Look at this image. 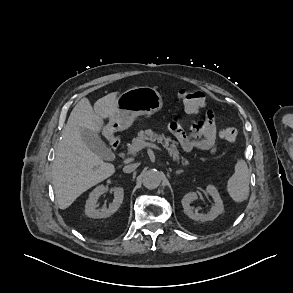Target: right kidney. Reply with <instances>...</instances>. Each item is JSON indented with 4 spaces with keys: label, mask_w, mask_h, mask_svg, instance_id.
Returning <instances> with one entry per match:
<instances>
[{
    "label": "right kidney",
    "mask_w": 293,
    "mask_h": 293,
    "mask_svg": "<svg viewBox=\"0 0 293 293\" xmlns=\"http://www.w3.org/2000/svg\"><path fill=\"white\" fill-rule=\"evenodd\" d=\"M107 188L103 185L97 186L89 195L86 201L85 214L91 218H107L114 214L123 202L124 190L121 187L113 188L114 199L108 208L97 209V201L99 197L107 192Z\"/></svg>",
    "instance_id": "obj_1"
}]
</instances>
